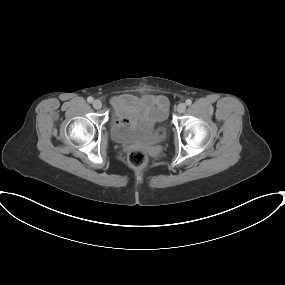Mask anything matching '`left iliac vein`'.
I'll use <instances>...</instances> for the list:
<instances>
[{
  "mask_svg": "<svg viewBox=\"0 0 285 285\" xmlns=\"http://www.w3.org/2000/svg\"><path fill=\"white\" fill-rule=\"evenodd\" d=\"M185 109H186V105H185L184 103H179V104L177 105V111H178L179 113H183V112L185 111Z\"/></svg>",
  "mask_w": 285,
  "mask_h": 285,
  "instance_id": "obj_1",
  "label": "left iliac vein"
}]
</instances>
